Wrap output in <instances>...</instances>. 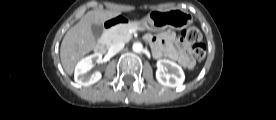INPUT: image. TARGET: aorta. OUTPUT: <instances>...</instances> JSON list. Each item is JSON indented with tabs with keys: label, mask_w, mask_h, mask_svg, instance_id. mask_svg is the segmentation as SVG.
Segmentation results:
<instances>
[{
	"label": "aorta",
	"mask_w": 276,
	"mask_h": 120,
	"mask_svg": "<svg viewBox=\"0 0 276 120\" xmlns=\"http://www.w3.org/2000/svg\"><path fill=\"white\" fill-rule=\"evenodd\" d=\"M132 49L136 53H141L143 51V45L140 42H135L132 46Z\"/></svg>",
	"instance_id": "762f6f07"
}]
</instances>
